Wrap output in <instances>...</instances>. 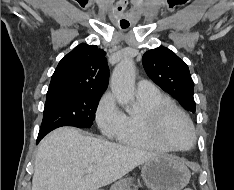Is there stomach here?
<instances>
[{
    "label": "stomach",
    "instance_id": "1",
    "mask_svg": "<svg viewBox=\"0 0 234 190\" xmlns=\"http://www.w3.org/2000/svg\"><path fill=\"white\" fill-rule=\"evenodd\" d=\"M187 166L171 155H157L142 167V178L151 190H182L190 181ZM132 179L126 178L113 184L110 190H130Z\"/></svg>",
    "mask_w": 234,
    "mask_h": 190
}]
</instances>
